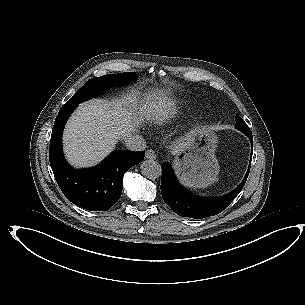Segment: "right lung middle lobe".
Masks as SVG:
<instances>
[{
  "label": "right lung middle lobe",
  "instance_id": "1",
  "mask_svg": "<svg viewBox=\"0 0 305 305\" xmlns=\"http://www.w3.org/2000/svg\"><path fill=\"white\" fill-rule=\"evenodd\" d=\"M136 78L134 73L108 74L101 77H96L87 81L82 88L67 102L66 105L77 106L92 97H96L108 88L118 85L127 84L129 81Z\"/></svg>",
  "mask_w": 305,
  "mask_h": 305
}]
</instances>
